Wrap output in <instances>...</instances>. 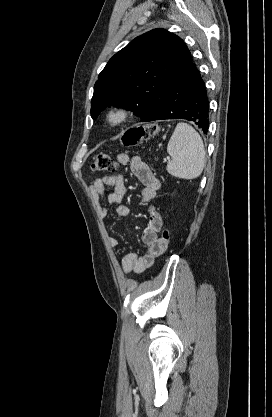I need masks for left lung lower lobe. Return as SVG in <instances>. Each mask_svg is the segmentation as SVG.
<instances>
[{
	"mask_svg": "<svg viewBox=\"0 0 272 417\" xmlns=\"http://www.w3.org/2000/svg\"><path fill=\"white\" fill-rule=\"evenodd\" d=\"M209 99L199 70L191 61L174 79L151 113L141 122L186 119L204 134L209 127Z\"/></svg>",
	"mask_w": 272,
	"mask_h": 417,
	"instance_id": "obj_1",
	"label": "left lung lower lobe"
}]
</instances>
